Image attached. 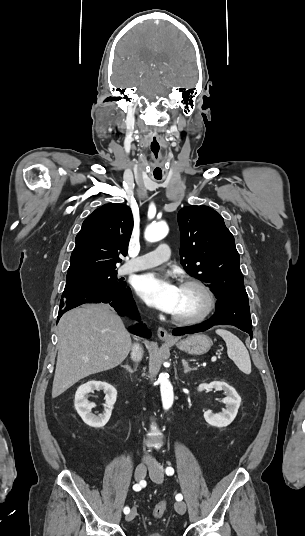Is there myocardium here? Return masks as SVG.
Masks as SVG:
<instances>
[{
	"label": "myocardium",
	"instance_id": "1",
	"mask_svg": "<svg viewBox=\"0 0 305 536\" xmlns=\"http://www.w3.org/2000/svg\"><path fill=\"white\" fill-rule=\"evenodd\" d=\"M180 285H190L199 288L206 296L207 306L203 312L194 315L172 314V319L175 322L183 324L198 323L208 319L214 314L218 306V298L215 291L208 283L196 277H186Z\"/></svg>",
	"mask_w": 305,
	"mask_h": 536
}]
</instances>
